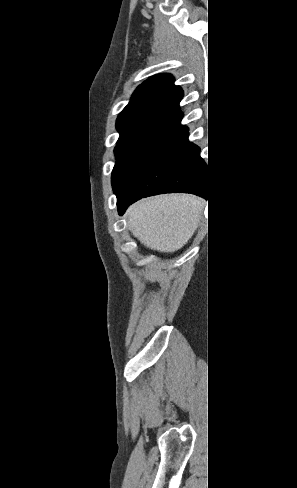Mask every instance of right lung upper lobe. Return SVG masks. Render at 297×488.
Instances as JSON below:
<instances>
[{"label": "right lung upper lobe", "instance_id": "obj_1", "mask_svg": "<svg viewBox=\"0 0 297 488\" xmlns=\"http://www.w3.org/2000/svg\"><path fill=\"white\" fill-rule=\"evenodd\" d=\"M173 82L170 74H159L150 77L135 90L116 121L121 135L145 131L178 133L186 128L180 125L183 114L179 102L183 91Z\"/></svg>", "mask_w": 297, "mask_h": 488}]
</instances>
